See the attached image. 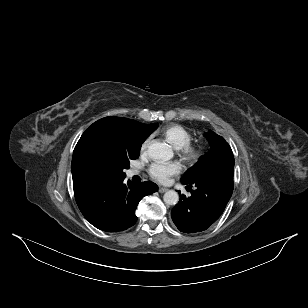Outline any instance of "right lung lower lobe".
I'll use <instances>...</instances> for the list:
<instances>
[{
    "instance_id": "98d812e1",
    "label": "right lung lower lobe",
    "mask_w": 308,
    "mask_h": 308,
    "mask_svg": "<svg viewBox=\"0 0 308 308\" xmlns=\"http://www.w3.org/2000/svg\"><path fill=\"white\" fill-rule=\"evenodd\" d=\"M124 178L108 180L75 198L84 217L96 228L117 232L133 226L139 201L158 190L153 182L124 184Z\"/></svg>"
}]
</instances>
